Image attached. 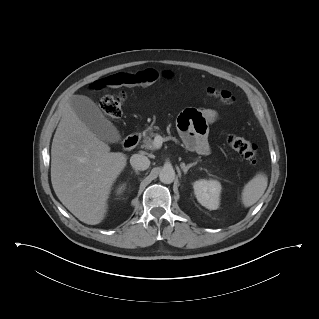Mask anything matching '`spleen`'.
<instances>
[{
	"label": "spleen",
	"instance_id": "3e777b00",
	"mask_svg": "<svg viewBox=\"0 0 319 319\" xmlns=\"http://www.w3.org/2000/svg\"><path fill=\"white\" fill-rule=\"evenodd\" d=\"M268 185L267 176L260 172L256 174L243 188L241 200L245 207L254 205L264 194Z\"/></svg>",
	"mask_w": 319,
	"mask_h": 319
}]
</instances>
